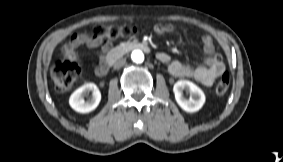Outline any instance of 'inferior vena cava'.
<instances>
[{"instance_id": "inferior-vena-cava-1", "label": "inferior vena cava", "mask_w": 283, "mask_h": 162, "mask_svg": "<svg viewBox=\"0 0 283 162\" xmlns=\"http://www.w3.org/2000/svg\"><path fill=\"white\" fill-rule=\"evenodd\" d=\"M126 60L124 58L118 59L115 63H114V68L118 69L120 67H122L125 64Z\"/></svg>"}]
</instances>
